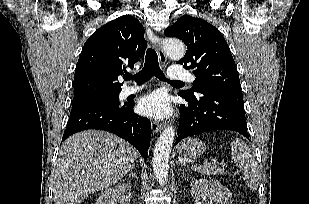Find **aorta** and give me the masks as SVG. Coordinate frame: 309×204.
I'll return each instance as SVG.
<instances>
[{
    "label": "aorta",
    "mask_w": 309,
    "mask_h": 204,
    "mask_svg": "<svg viewBox=\"0 0 309 204\" xmlns=\"http://www.w3.org/2000/svg\"><path fill=\"white\" fill-rule=\"evenodd\" d=\"M165 52L171 59L179 60L185 55V45L179 40H169L165 44ZM174 137V127H166L157 139L153 150V171L160 185H164L168 178L169 157Z\"/></svg>",
    "instance_id": "obj_1"
}]
</instances>
